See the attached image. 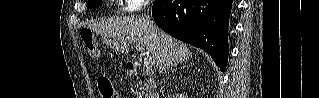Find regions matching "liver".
Instances as JSON below:
<instances>
[{"instance_id": "1", "label": "liver", "mask_w": 319, "mask_h": 98, "mask_svg": "<svg viewBox=\"0 0 319 98\" xmlns=\"http://www.w3.org/2000/svg\"><path fill=\"white\" fill-rule=\"evenodd\" d=\"M89 28L103 37L115 51L128 53L131 44H139L151 55L159 72L192 58L187 44L169 36L143 17L123 16L92 23Z\"/></svg>"}]
</instances>
